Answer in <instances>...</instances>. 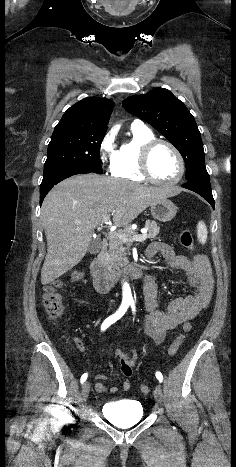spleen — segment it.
Wrapping results in <instances>:
<instances>
[{
  "label": "spleen",
  "instance_id": "spleen-1",
  "mask_svg": "<svg viewBox=\"0 0 236 467\" xmlns=\"http://www.w3.org/2000/svg\"><path fill=\"white\" fill-rule=\"evenodd\" d=\"M207 227L203 221H199L197 224V238L200 243L204 244L207 240Z\"/></svg>",
  "mask_w": 236,
  "mask_h": 467
}]
</instances>
